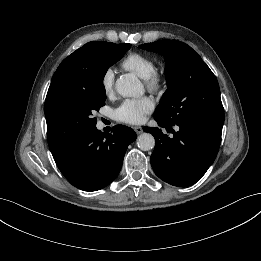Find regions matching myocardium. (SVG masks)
Wrapping results in <instances>:
<instances>
[{
  "mask_svg": "<svg viewBox=\"0 0 261 261\" xmlns=\"http://www.w3.org/2000/svg\"><path fill=\"white\" fill-rule=\"evenodd\" d=\"M144 80L146 88L151 92H158L164 86V77L158 70L152 72L151 75Z\"/></svg>",
  "mask_w": 261,
  "mask_h": 261,
  "instance_id": "f54148a6",
  "label": "myocardium"
}]
</instances>
